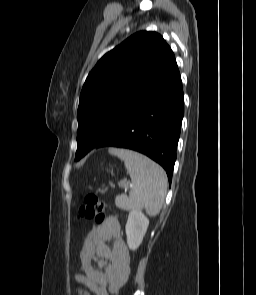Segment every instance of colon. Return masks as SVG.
I'll list each match as a JSON object with an SVG mask.
<instances>
[{
	"mask_svg": "<svg viewBox=\"0 0 256 295\" xmlns=\"http://www.w3.org/2000/svg\"><path fill=\"white\" fill-rule=\"evenodd\" d=\"M105 212L106 203L101 201L95 193H88L79 208V217L94 219L97 223H102L105 219Z\"/></svg>",
	"mask_w": 256,
	"mask_h": 295,
	"instance_id": "colon-1",
	"label": "colon"
}]
</instances>
